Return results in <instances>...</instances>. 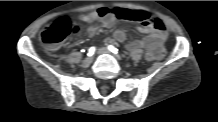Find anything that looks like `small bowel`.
<instances>
[{"instance_id":"1","label":"small bowel","mask_w":218,"mask_h":122,"mask_svg":"<svg viewBox=\"0 0 218 122\" xmlns=\"http://www.w3.org/2000/svg\"><path fill=\"white\" fill-rule=\"evenodd\" d=\"M117 8L101 7L86 14L79 16V20L85 23H99L105 28H110L115 23L118 17L114 14ZM99 31L98 25H91L87 29V34L90 37L95 36ZM138 31L145 34L146 37L141 40H135L128 45L129 50H145V56L148 60H154V54L158 48H164V43L167 39V32L164 27L155 28L150 25H141ZM113 38L115 41L123 42L126 39V34L123 30L118 29L114 32Z\"/></svg>"}]
</instances>
